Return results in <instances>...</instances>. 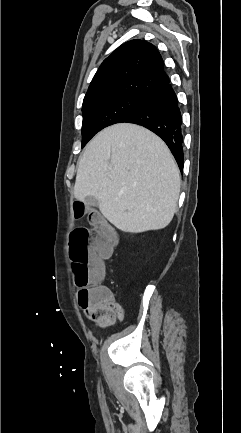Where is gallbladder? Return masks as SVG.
I'll return each instance as SVG.
<instances>
[{
	"instance_id": "gallbladder-1",
	"label": "gallbladder",
	"mask_w": 241,
	"mask_h": 433,
	"mask_svg": "<svg viewBox=\"0 0 241 433\" xmlns=\"http://www.w3.org/2000/svg\"><path fill=\"white\" fill-rule=\"evenodd\" d=\"M84 203L88 206H96L98 204V201L93 196H86L84 199Z\"/></svg>"
}]
</instances>
